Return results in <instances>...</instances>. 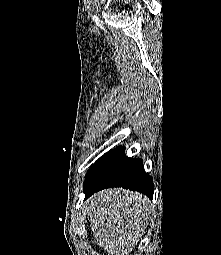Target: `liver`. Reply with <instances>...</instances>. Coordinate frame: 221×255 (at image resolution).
Segmentation results:
<instances>
[{"label":"liver","mask_w":221,"mask_h":255,"mask_svg":"<svg viewBox=\"0 0 221 255\" xmlns=\"http://www.w3.org/2000/svg\"><path fill=\"white\" fill-rule=\"evenodd\" d=\"M154 212L150 200L129 190L107 189L89 198L88 215L94 242L108 255H128Z\"/></svg>","instance_id":"obj_1"}]
</instances>
